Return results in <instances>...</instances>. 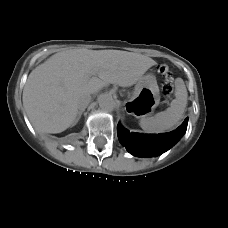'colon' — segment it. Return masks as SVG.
Instances as JSON below:
<instances>
[{"label": "colon", "mask_w": 228, "mask_h": 228, "mask_svg": "<svg viewBox=\"0 0 228 228\" xmlns=\"http://www.w3.org/2000/svg\"><path fill=\"white\" fill-rule=\"evenodd\" d=\"M159 71L165 77L166 82L164 85V93H165V96L169 97L172 95L173 90H174L170 68L168 65L163 64V65H161Z\"/></svg>", "instance_id": "1"}]
</instances>
